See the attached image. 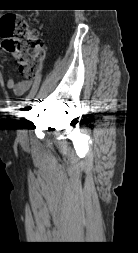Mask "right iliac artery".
Wrapping results in <instances>:
<instances>
[{"instance_id":"1","label":"right iliac artery","mask_w":138,"mask_h":253,"mask_svg":"<svg viewBox=\"0 0 138 253\" xmlns=\"http://www.w3.org/2000/svg\"><path fill=\"white\" fill-rule=\"evenodd\" d=\"M41 80H42V74H38V76L35 77V82L32 86L30 93L27 95V97L24 98L26 106H28V104L31 102V98H33L34 95L36 94Z\"/></svg>"}]
</instances>
